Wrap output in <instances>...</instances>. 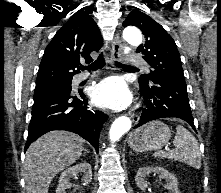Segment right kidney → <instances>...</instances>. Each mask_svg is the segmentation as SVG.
<instances>
[{
    "label": "right kidney",
    "instance_id": "1",
    "mask_svg": "<svg viewBox=\"0 0 221 193\" xmlns=\"http://www.w3.org/2000/svg\"><path fill=\"white\" fill-rule=\"evenodd\" d=\"M78 173L83 174V181L89 184L92 180L91 165L87 162L76 164L70 168H67L60 176L56 193H66L72 184L70 178H76Z\"/></svg>",
    "mask_w": 221,
    "mask_h": 193
}]
</instances>
